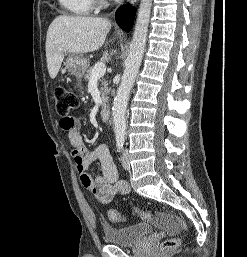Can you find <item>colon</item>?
<instances>
[{"label":"colon","mask_w":247,"mask_h":257,"mask_svg":"<svg viewBox=\"0 0 247 257\" xmlns=\"http://www.w3.org/2000/svg\"><path fill=\"white\" fill-rule=\"evenodd\" d=\"M55 100H56V111L58 115L61 117V122L68 126L71 124V116L70 113L78 108L79 100L75 93L71 90L58 86L54 91ZM134 211L140 215V217L144 220H151L152 216L149 212L140 211L138 208H134ZM108 217L112 222L118 223L124 220L123 215L118 210H110L108 213ZM175 220L182 227L185 226L184 222L175 217ZM180 244V239L177 237H172L166 239L161 243L160 250L161 252L167 253L175 250Z\"/></svg>","instance_id":"colon-1"}]
</instances>
